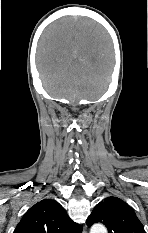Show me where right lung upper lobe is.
<instances>
[{
  "label": "right lung upper lobe",
  "instance_id": "right-lung-upper-lobe-1",
  "mask_svg": "<svg viewBox=\"0 0 148 233\" xmlns=\"http://www.w3.org/2000/svg\"><path fill=\"white\" fill-rule=\"evenodd\" d=\"M13 233H82V226L58 202L44 199L24 214Z\"/></svg>",
  "mask_w": 148,
  "mask_h": 233
}]
</instances>
